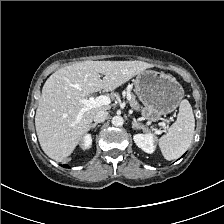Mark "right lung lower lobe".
<instances>
[{"label": "right lung lower lobe", "mask_w": 224, "mask_h": 224, "mask_svg": "<svg viewBox=\"0 0 224 224\" xmlns=\"http://www.w3.org/2000/svg\"><path fill=\"white\" fill-rule=\"evenodd\" d=\"M63 167H65V168H69V166H68V165H63Z\"/></svg>", "instance_id": "obj_1"}]
</instances>
